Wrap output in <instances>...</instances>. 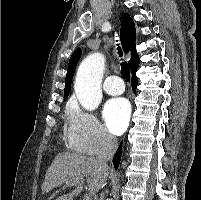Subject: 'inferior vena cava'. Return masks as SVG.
<instances>
[{
  "label": "inferior vena cava",
  "mask_w": 201,
  "mask_h": 200,
  "mask_svg": "<svg viewBox=\"0 0 201 200\" xmlns=\"http://www.w3.org/2000/svg\"><path fill=\"white\" fill-rule=\"evenodd\" d=\"M117 147H118L117 139L108 133L104 134L102 139L101 150L96 158L97 162L103 169L105 170L108 169L107 161L111 160ZM103 198H104V193L100 195L99 200H103Z\"/></svg>",
  "instance_id": "obj_1"
}]
</instances>
